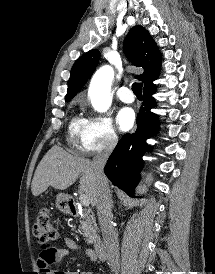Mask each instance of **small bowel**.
<instances>
[{
  "label": "small bowel",
  "mask_w": 215,
  "mask_h": 274,
  "mask_svg": "<svg viewBox=\"0 0 215 274\" xmlns=\"http://www.w3.org/2000/svg\"><path fill=\"white\" fill-rule=\"evenodd\" d=\"M63 242L65 247L41 245L38 256V266L40 271L46 272V274H93L92 272L79 271L55 272L52 269L54 264L59 263L65 257L77 251L83 252L92 263L97 261V256L93 249L82 247L75 240L69 237H64Z\"/></svg>",
  "instance_id": "1"
}]
</instances>
